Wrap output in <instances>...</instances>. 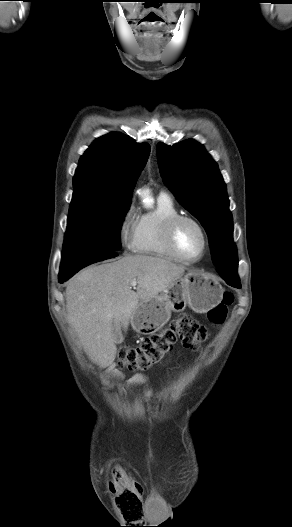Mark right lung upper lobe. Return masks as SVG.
Here are the masks:
<instances>
[{
	"label": "right lung upper lobe",
	"mask_w": 292,
	"mask_h": 527,
	"mask_svg": "<svg viewBox=\"0 0 292 527\" xmlns=\"http://www.w3.org/2000/svg\"><path fill=\"white\" fill-rule=\"evenodd\" d=\"M150 153L148 143L111 133L98 138L80 158L74 189L94 190L114 200H131Z\"/></svg>",
	"instance_id": "cb5924a9"
}]
</instances>
